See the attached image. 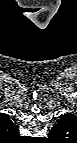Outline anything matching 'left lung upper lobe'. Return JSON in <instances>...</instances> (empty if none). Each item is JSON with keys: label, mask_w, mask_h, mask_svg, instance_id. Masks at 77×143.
<instances>
[{"label": "left lung upper lobe", "mask_w": 77, "mask_h": 143, "mask_svg": "<svg viewBox=\"0 0 77 143\" xmlns=\"http://www.w3.org/2000/svg\"><path fill=\"white\" fill-rule=\"evenodd\" d=\"M72 121L73 118L71 116L58 120L57 123L51 129V132L60 135L63 134L64 130L67 129V127L72 123Z\"/></svg>", "instance_id": "5c2ea615"}]
</instances>
